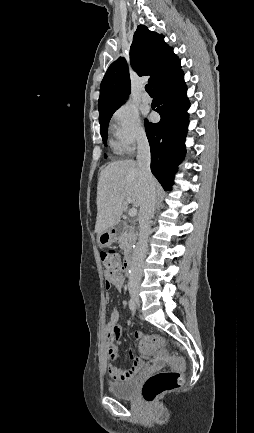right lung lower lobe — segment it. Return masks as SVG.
I'll return each mask as SVG.
<instances>
[{"instance_id":"right-lung-lower-lobe-1","label":"right lung lower lobe","mask_w":254,"mask_h":433,"mask_svg":"<svg viewBox=\"0 0 254 433\" xmlns=\"http://www.w3.org/2000/svg\"><path fill=\"white\" fill-rule=\"evenodd\" d=\"M180 60L154 87L152 108L161 116L158 123L145 121L151 148V171L165 190L173 184L178 164L185 154L189 101Z\"/></svg>"}]
</instances>
